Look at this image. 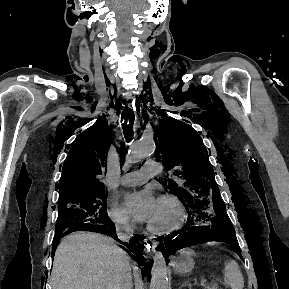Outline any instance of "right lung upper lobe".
Instances as JSON below:
<instances>
[{
    "label": "right lung upper lobe",
    "instance_id": "right-lung-upper-lobe-1",
    "mask_svg": "<svg viewBox=\"0 0 289 289\" xmlns=\"http://www.w3.org/2000/svg\"><path fill=\"white\" fill-rule=\"evenodd\" d=\"M110 144L111 132L103 118L78 136L63 165L60 184L56 185L60 197L104 188L102 175L107 171Z\"/></svg>",
    "mask_w": 289,
    "mask_h": 289
}]
</instances>
